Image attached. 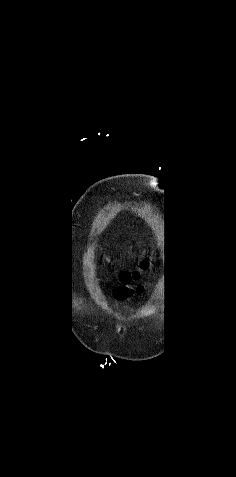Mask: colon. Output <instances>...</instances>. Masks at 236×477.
<instances>
[{
    "instance_id": "colon-1",
    "label": "colon",
    "mask_w": 236,
    "mask_h": 477,
    "mask_svg": "<svg viewBox=\"0 0 236 477\" xmlns=\"http://www.w3.org/2000/svg\"><path fill=\"white\" fill-rule=\"evenodd\" d=\"M143 267L146 266V263L142 264ZM137 277V272L123 271L121 273L122 286H119L116 289V296L120 299L126 298L131 294V290L127 287V284L130 283L133 279Z\"/></svg>"
}]
</instances>
